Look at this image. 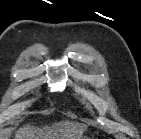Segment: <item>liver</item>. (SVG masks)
Here are the masks:
<instances>
[{
    "label": "liver",
    "instance_id": "obj_1",
    "mask_svg": "<svg viewBox=\"0 0 141 139\" xmlns=\"http://www.w3.org/2000/svg\"><path fill=\"white\" fill-rule=\"evenodd\" d=\"M84 131V125L66 120L43 128L23 125L14 139H81Z\"/></svg>",
    "mask_w": 141,
    "mask_h": 139
}]
</instances>
